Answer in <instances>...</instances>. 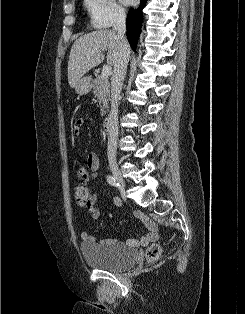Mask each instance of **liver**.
Here are the masks:
<instances>
[{
	"mask_svg": "<svg viewBox=\"0 0 245 314\" xmlns=\"http://www.w3.org/2000/svg\"><path fill=\"white\" fill-rule=\"evenodd\" d=\"M120 42L114 30H98L80 36L72 45L68 61V82L71 88L90 69L103 62V51L108 50L107 63L114 65Z\"/></svg>",
	"mask_w": 245,
	"mask_h": 314,
	"instance_id": "6515ba94",
	"label": "liver"
}]
</instances>
